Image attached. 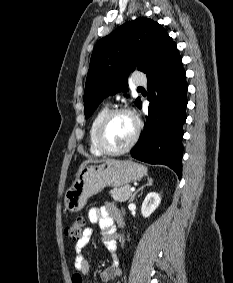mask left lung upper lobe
<instances>
[{
  "mask_svg": "<svg viewBox=\"0 0 233 283\" xmlns=\"http://www.w3.org/2000/svg\"><path fill=\"white\" fill-rule=\"evenodd\" d=\"M174 45L160 24L144 17L122 24L99 40L86 79L85 117L91 116L108 95L125 91L131 71L137 69L149 74ZM140 102L138 98L135 104L138 106Z\"/></svg>",
  "mask_w": 233,
  "mask_h": 283,
  "instance_id": "obj_1",
  "label": "left lung upper lobe"
}]
</instances>
